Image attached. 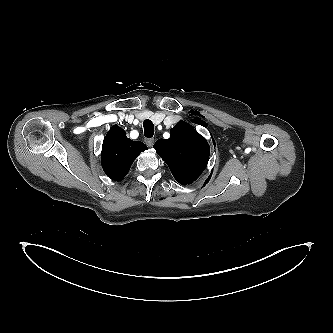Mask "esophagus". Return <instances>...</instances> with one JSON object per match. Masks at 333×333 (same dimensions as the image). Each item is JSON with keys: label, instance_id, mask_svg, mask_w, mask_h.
<instances>
[{"label": "esophagus", "instance_id": "1", "mask_svg": "<svg viewBox=\"0 0 333 333\" xmlns=\"http://www.w3.org/2000/svg\"><path fill=\"white\" fill-rule=\"evenodd\" d=\"M154 139L153 138H150V139H146L145 142L147 144L148 147H152L153 144H154Z\"/></svg>", "mask_w": 333, "mask_h": 333}]
</instances>
